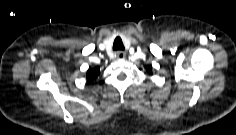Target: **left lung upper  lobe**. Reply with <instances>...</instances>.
<instances>
[{"mask_svg": "<svg viewBox=\"0 0 236 135\" xmlns=\"http://www.w3.org/2000/svg\"><path fill=\"white\" fill-rule=\"evenodd\" d=\"M147 70L149 71V73L151 74V69H150V67L148 66L147 67Z\"/></svg>", "mask_w": 236, "mask_h": 135, "instance_id": "obj_1", "label": "left lung upper lobe"}]
</instances>
